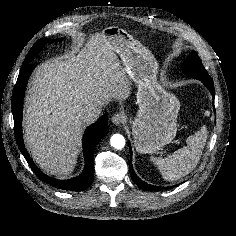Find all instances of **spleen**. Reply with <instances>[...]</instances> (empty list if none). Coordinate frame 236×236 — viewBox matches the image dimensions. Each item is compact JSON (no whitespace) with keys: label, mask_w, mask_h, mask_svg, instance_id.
Here are the masks:
<instances>
[{"label":"spleen","mask_w":236,"mask_h":236,"mask_svg":"<svg viewBox=\"0 0 236 236\" xmlns=\"http://www.w3.org/2000/svg\"><path fill=\"white\" fill-rule=\"evenodd\" d=\"M207 141V129L202 127L186 140L187 146L178 149L166 158H152L163 178L167 181L178 180L194 170L202 155Z\"/></svg>","instance_id":"1"}]
</instances>
